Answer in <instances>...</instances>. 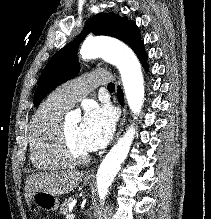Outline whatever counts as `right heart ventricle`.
Segmentation results:
<instances>
[{
	"label": "right heart ventricle",
	"instance_id": "obj_1",
	"mask_svg": "<svg viewBox=\"0 0 211 219\" xmlns=\"http://www.w3.org/2000/svg\"><path fill=\"white\" fill-rule=\"evenodd\" d=\"M67 109L48 98L35 111L29 127L30 160L42 171L64 169L71 166L60 152L57 131Z\"/></svg>",
	"mask_w": 211,
	"mask_h": 219
}]
</instances>
